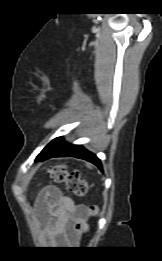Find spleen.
<instances>
[{
    "label": "spleen",
    "mask_w": 162,
    "mask_h": 261,
    "mask_svg": "<svg viewBox=\"0 0 162 261\" xmlns=\"http://www.w3.org/2000/svg\"><path fill=\"white\" fill-rule=\"evenodd\" d=\"M87 166H88L89 168H91L89 164H87Z\"/></svg>",
    "instance_id": "spleen-1"
}]
</instances>
